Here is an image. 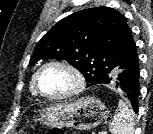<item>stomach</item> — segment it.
I'll use <instances>...</instances> for the list:
<instances>
[{
  "mask_svg": "<svg viewBox=\"0 0 153 134\" xmlns=\"http://www.w3.org/2000/svg\"><path fill=\"white\" fill-rule=\"evenodd\" d=\"M105 105L94 97H85L73 103L53 104L39 114L40 123L51 128L90 130L106 119ZM22 134L23 131H21Z\"/></svg>",
  "mask_w": 153,
  "mask_h": 134,
  "instance_id": "0dacf381",
  "label": "stomach"
}]
</instances>
